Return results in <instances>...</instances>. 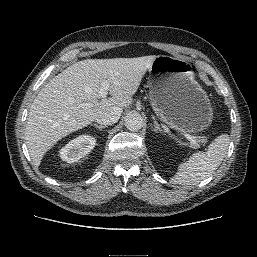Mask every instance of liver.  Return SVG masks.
<instances>
[{"label":"liver","mask_w":257,"mask_h":257,"mask_svg":"<svg viewBox=\"0 0 257 257\" xmlns=\"http://www.w3.org/2000/svg\"><path fill=\"white\" fill-rule=\"evenodd\" d=\"M155 58L82 60L45 85L30 107L26 124L25 139L34 164L39 166L54 144L89 125L101 111L128 107ZM104 80L110 98L98 94Z\"/></svg>","instance_id":"1"}]
</instances>
